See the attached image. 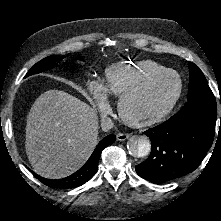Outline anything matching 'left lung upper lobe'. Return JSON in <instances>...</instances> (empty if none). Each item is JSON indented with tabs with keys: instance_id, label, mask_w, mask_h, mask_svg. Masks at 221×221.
Returning a JSON list of instances; mask_svg holds the SVG:
<instances>
[{
	"instance_id": "obj_1",
	"label": "left lung upper lobe",
	"mask_w": 221,
	"mask_h": 221,
	"mask_svg": "<svg viewBox=\"0 0 221 221\" xmlns=\"http://www.w3.org/2000/svg\"><path fill=\"white\" fill-rule=\"evenodd\" d=\"M188 65L190 72L187 95L188 102H191L197 98L215 99L202 71L192 62H189Z\"/></svg>"
}]
</instances>
